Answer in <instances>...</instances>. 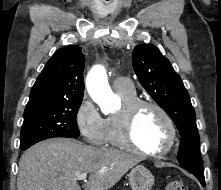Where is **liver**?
<instances>
[{
  "label": "liver",
  "mask_w": 221,
  "mask_h": 190,
  "mask_svg": "<svg viewBox=\"0 0 221 190\" xmlns=\"http://www.w3.org/2000/svg\"><path fill=\"white\" fill-rule=\"evenodd\" d=\"M143 158L110 148L49 139L26 150L19 161L18 190H81L77 176L88 173L84 190H107Z\"/></svg>",
  "instance_id": "obj_1"
}]
</instances>
